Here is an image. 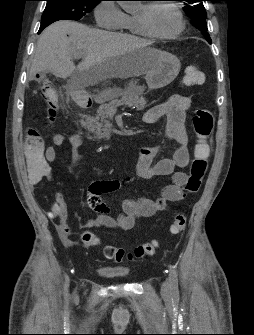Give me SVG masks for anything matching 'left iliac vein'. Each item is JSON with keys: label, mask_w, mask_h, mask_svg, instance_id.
<instances>
[{"label": "left iliac vein", "mask_w": 254, "mask_h": 335, "mask_svg": "<svg viewBox=\"0 0 254 335\" xmlns=\"http://www.w3.org/2000/svg\"><path fill=\"white\" fill-rule=\"evenodd\" d=\"M161 293L164 296H168L170 294V284H169V281L166 280L165 282L162 283Z\"/></svg>", "instance_id": "1"}]
</instances>
